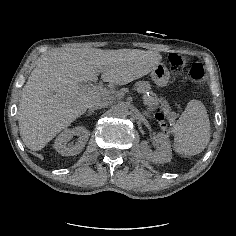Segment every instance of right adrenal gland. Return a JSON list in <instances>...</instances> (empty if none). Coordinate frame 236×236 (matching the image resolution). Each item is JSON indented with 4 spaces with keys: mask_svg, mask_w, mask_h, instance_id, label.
Returning <instances> with one entry per match:
<instances>
[{
    "mask_svg": "<svg viewBox=\"0 0 236 236\" xmlns=\"http://www.w3.org/2000/svg\"><path fill=\"white\" fill-rule=\"evenodd\" d=\"M94 113H95V111H94V109L92 108V109L86 114V116L92 115V114H94Z\"/></svg>",
    "mask_w": 236,
    "mask_h": 236,
    "instance_id": "1",
    "label": "right adrenal gland"
}]
</instances>
